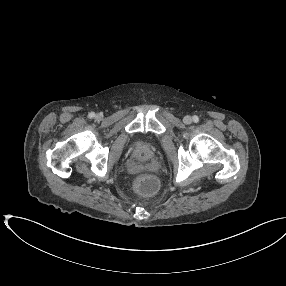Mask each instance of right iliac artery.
<instances>
[{"label":"right iliac artery","instance_id":"82829eb1","mask_svg":"<svg viewBox=\"0 0 286 286\" xmlns=\"http://www.w3.org/2000/svg\"><path fill=\"white\" fill-rule=\"evenodd\" d=\"M90 118H93L94 116H95V113L94 112H91V113H89V115H88Z\"/></svg>","mask_w":286,"mask_h":286}]
</instances>
